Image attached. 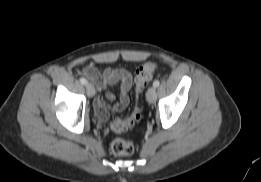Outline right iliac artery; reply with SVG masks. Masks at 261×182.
Returning a JSON list of instances; mask_svg holds the SVG:
<instances>
[{"instance_id": "1", "label": "right iliac artery", "mask_w": 261, "mask_h": 182, "mask_svg": "<svg viewBox=\"0 0 261 182\" xmlns=\"http://www.w3.org/2000/svg\"><path fill=\"white\" fill-rule=\"evenodd\" d=\"M80 82L81 84L83 85H86L87 84V80L85 78H80Z\"/></svg>"}]
</instances>
